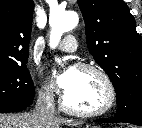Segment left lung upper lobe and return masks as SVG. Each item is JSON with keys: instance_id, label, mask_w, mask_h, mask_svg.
Returning <instances> with one entry per match:
<instances>
[{"instance_id": "obj_1", "label": "left lung upper lobe", "mask_w": 142, "mask_h": 128, "mask_svg": "<svg viewBox=\"0 0 142 128\" xmlns=\"http://www.w3.org/2000/svg\"><path fill=\"white\" fill-rule=\"evenodd\" d=\"M89 52L111 79L115 117H142V42L123 0H77Z\"/></svg>"}]
</instances>
